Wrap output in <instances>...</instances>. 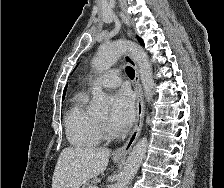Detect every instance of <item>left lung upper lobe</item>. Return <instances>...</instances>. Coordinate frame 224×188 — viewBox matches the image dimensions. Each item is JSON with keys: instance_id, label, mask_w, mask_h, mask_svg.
Listing matches in <instances>:
<instances>
[{"instance_id": "1", "label": "left lung upper lobe", "mask_w": 224, "mask_h": 188, "mask_svg": "<svg viewBox=\"0 0 224 188\" xmlns=\"http://www.w3.org/2000/svg\"><path fill=\"white\" fill-rule=\"evenodd\" d=\"M138 40H139V42H140L141 44H143V40H142L141 38H138ZM65 91H66V87H65V89H64L63 98H64V96H65Z\"/></svg>"}]
</instances>
